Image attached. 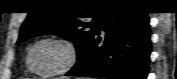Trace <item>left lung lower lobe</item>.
<instances>
[{
	"instance_id": "obj_1",
	"label": "left lung lower lobe",
	"mask_w": 177,
	"mask_h": 79,
	"mask_svg": "<svg viewBox=\"0 0 177 79\" xmlns=\"http://www.w3.org/2000/svg\"><path fill=\"white\" fill-rule=\"evenodd\" d=\"M105 32L99 46L100 31ZM150 46L149 17L130 6L105 8L93 38L75 66L66 74L108 79H146Z\"/></svg>"
}]
</instances>
